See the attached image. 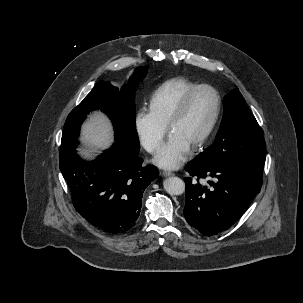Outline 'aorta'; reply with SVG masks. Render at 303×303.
Wrapping results in <instances>:
<instances>
[{
    "mask_svg": "<svg viewBox=\"0 0 303 303\" xmlns=\"http://www.w3.org/2000/svg\"><path fill=\"white\" fill-rule=\"evenodd\" d=\"M163 187L170 195H181L185 192V183L178 177H169L165 179Z\"/></svg>",
    "mask_w": 303,
    "mask_h": 303,
    "instance_id": "762f6f07",
    "label": "aorta"
}]
</instances>
